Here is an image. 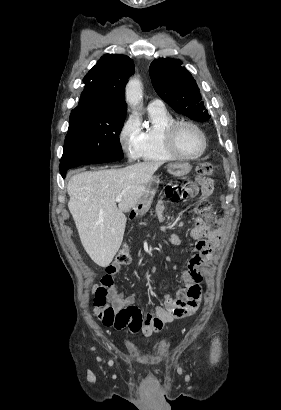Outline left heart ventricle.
I'll use <instances>...</instances> for the list:
<instances>
[{
  "label": "left heart ventricle",
  "mask_w": 281,
  "mask_h": 410,
  "mask_svg": "<svg viewBox=\"0 0 281 410\" xmlns=\"http://www.w3.org/2000/svg\"><path fill=\"white\" fill-rule=\"evenodd\" d=\"M175 142L179 150L187 155L197 154L203 146L200 133L189 125H182L177 129Z\"/></svg>",
  "instance_id": "obj_1"
}]
</instances>
